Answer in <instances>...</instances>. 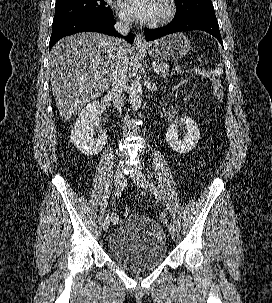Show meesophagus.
Segmentation results:
<instances>
[{"mask_svg": "<svg viewBox=\"0 0 272 303\" xmlns=\"http://www.w3.org/2000/svg\"><path fill=\"white\" fill-rule=\"evenodd\" d=\"M134 44L137 48L146 47L147 42L144 39V36L142 33L138 32L135 36Z\"/></svg>", "mask_w": 272, "mask_h": 303, "instance_id": "34e87169", "label": "esophagus"}]
</instances>
